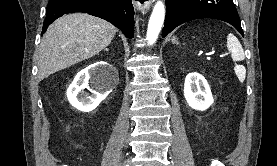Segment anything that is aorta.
I'll use <instances>...</instances> for the list:
<instances>
[{
    "mask_svg": "<svg viewBox=\"0 0 277 166\" xmlns=\"http://www.w3.org/2000/svg\"><path fill=\"white\" fill-rule=\"evenodd\" d=\"M165 17V6L162 1H157L155 4L147 29L146 39L149 45H153L161 31Z\"/></svg>",
    "mask_w": 277,
    "mask_h": 166,
    "instance_id": "obj_1",
    "label": "aorta"
}]
</instances>
